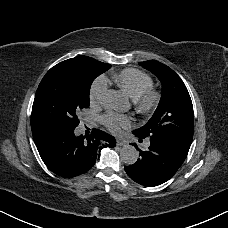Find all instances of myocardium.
<instances>
[{
    "instance_id": "1",
    "label": "myocardium",
    "mask_w": 228,
    "mask_h": 228,
    "mask_svg": "<svg viewBox=\"0 0 228 228\" xmlns=\"http://www.w3.org/2000/svg\"><path fill=\"white\" fill-rule=\"evenodd\" d=\"M131 110L137 115H150L158 107L159 95L154 90H147L139 96L132 98Z\"/></svg>"
}]
</instances>
